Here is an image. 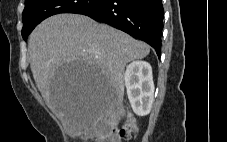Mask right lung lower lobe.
<instances>
[{"label":"right lung lower lobe","mask_w":227,"mask_h":142,"mask_svg":"<svg viewBox=\"0 0 227 142\" xmlns=\"http://www.w3.org/2000/svg\"><path fill=\"white\" fill-rule=\"evenodd\" d=\"M78 14L106 23L151 45L161 53L164 10L162 0H105Z\"/></svg>","instance_id":"1"}]
</instances>
